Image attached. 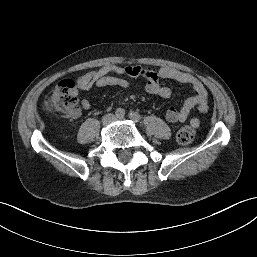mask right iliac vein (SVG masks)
I'll return each mask as SVG.
<instances>
[{
	"label": "right iliac vein",
	"instance_id": "obj_1",
	"mask_svg": "<svg viewBox=\"0 0 257 257\" xmlns=\"http://www.w3.org/2000/svg\"><path fill=\"white\" fill-rule=\"evenodd\" d=\"M110 119H111V117H107V118L105 119V122L108 123V122L110 121Z\"/></svg>",
	"mask_w": 257,
	"mask_h": 257
}]
</instances>
